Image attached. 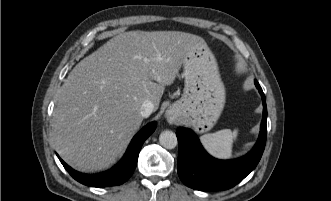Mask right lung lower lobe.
<instances>
[{
    "label": "right lung lower lobe",
    "instance_id": "right-lung-lower-lobe-1",
    "mask_svg": "<svg viewBox=\"0 0 331 201\" xmlns=\"http://www.w3.org/2000/svg\"><path fill=\"white\" fill-rule=\"evenodd\" d=\"M156 129V122H152L145 126L141 131H139L132 139L125 155L111 169L101 172L98 174H82L71 167H69L62 159H60L64 168L68 173L78 182L92 187H107L120 185L126 182L129 177L133 174L136 168L138 155L144 141L154 132Z\"/></svg>",
    "mask_w": 331,
    "mask_h": 201
}]
</instances>
